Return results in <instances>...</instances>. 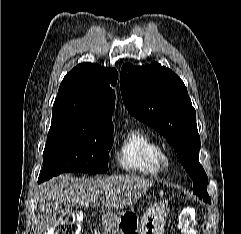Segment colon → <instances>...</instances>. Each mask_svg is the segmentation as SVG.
Returning <instances> with one entry per match:
<instances>
[{
    "label": "colon",
    "instance_id": "obj_1",
    "mask_svg": "<svg viewBox=\"0 0 241 234\" xmlns=\"http://www.w3.org/2000/svg\"><path fill=\"white\" fill-rule=\"evenodd\" d=\"M80 216L73 213L63 214L57 221L52 234H79ZM179 229L182 234H197L195 228V211L184 210L179 217Z\"/></svg>",
    "mask_w": 241,
    "mask_h": 234
}]
</instances>
